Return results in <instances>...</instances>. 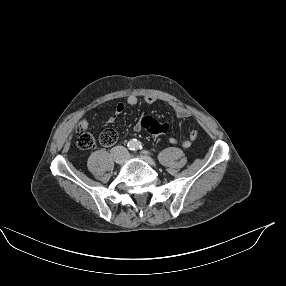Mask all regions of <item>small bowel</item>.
Here are the masks:
<instances>
[{"mask_svg": "<svg viewBox=\"0 0 286 286\" xmlns=\"http://www.w3.org/2000/svg\"><path fill=\"white\" fill-rule=\"evenodd\" d=\"M157 100V98L153 95H147L144 97V101L148 104H152ZM139 103V98L136 95H130L128 96L127 100H126V104L128 106L134 107ZM125 110V104L124 103H118L116 105L115 108V112L113 113V115L109 118V122H114L119 115H121L123 113V111ZM174 111L175 114L177 115V117L181 118V119H186L192 116V113L181 106H175L174 107ZM149 118V116H143L141 117L136 124L134 125V131L135 132H140L144 129V121ZM81 127L86 130L88 127V123L86 120H82L81 121ZM198 137V132L196 130H192L190 131L188 138L182 140L180 142L181 146L183 148H189L191 147L192 143L197 139ZM169 142L172 144H177L179 143L178 139L175 137H170L169 138Z\"/></svg>", "mask_w": 286, "mask_h": 286, "instance_id": "obj_1", "label": "small bowel"}]
</instances>
